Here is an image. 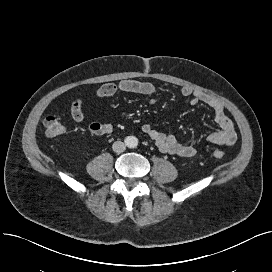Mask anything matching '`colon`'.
<instances>
[{"label":"colon","instance_id":"colon-1","mask_svg":"<svg viewBox=\"0 0 272 272\" xmlns=\"http://www.w3.org/2000/svg\"><path fill=\"white\" fill-rule=\"evenodd\" d=\"M45 133L49 137H58L65 132V126L56 116H48L44 119ZM216 159H222L225 153L222 150L215 149L211 152Z\"/></svg>","mask_w":272,"mask_h":272}]
</instances>
